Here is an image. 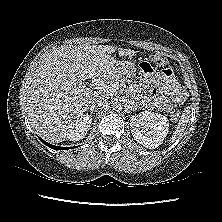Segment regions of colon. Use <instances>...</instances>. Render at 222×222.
Instances as JSON below:
<instances>
[{"instance_id":"5ec220e1","label":"colon","mask_w":222,"mask_h":222,"mask_svg":"<svg viewBox=\"0 0 222 222\" xmlns=\"http://www.w3.org/2000/svg\"><path fill=\"white\" fill-rule=\"evenodd\" d=\"M169 69L168 60L161 54H152L147 61L141 64V70L145 74H154L156 72H167ZM172 120H177L179 118L178 111H172L170 114Z\"/></svg>"}]
</instances>
